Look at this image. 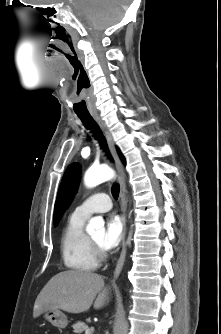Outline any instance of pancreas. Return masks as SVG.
<instances>
[{
    "instance_id": "pancreas-1",
    "label": "pancreas",
    "mask_w": 221,
    "mask_h": 334,
    "mask_svg": "<svg viewBox=\"0 0 221 334\" xmlns=\"http://www.w3.org/2000/svg\"><path fill=\"white\" fill-rule=\"evenodd\" d=\"M73 332L77 334H81L88 329V325L84 322H77L73 326Z\"/></svg>"
}]
</instances>
